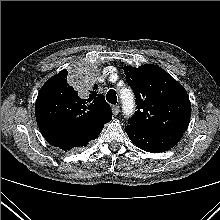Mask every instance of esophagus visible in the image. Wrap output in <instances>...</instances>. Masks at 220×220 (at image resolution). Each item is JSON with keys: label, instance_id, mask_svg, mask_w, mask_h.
<instances>
[{"label": "esophagus", "instance_id": "obj_1", "mask_svg": "<svg viewBox=\"0 0 220 220\" xmlns=\"http://www.w3.org/2000/svg\"><path fill=\"white\" fill-rule=\"evenodd\" d=\"M120 112V106L119 105H115L112 107V113L113 115H118Z\"/></svg>", "mask_w": 220, "mask_h": 220}]
</instances>
